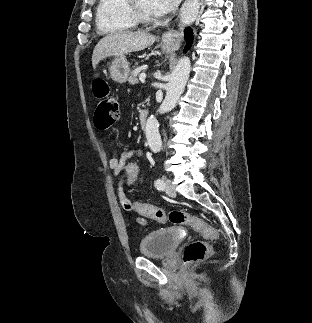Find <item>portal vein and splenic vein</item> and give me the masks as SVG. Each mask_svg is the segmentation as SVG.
Segmentation results:
<instances>
[{"label": "portal vein and splenic vein", "mask_w": 312, "mask_h": 323, "mask_svg": "<svg viewBox=\"0 0 312 323\" xmlns=\"http://www.w3.org/2000/svg\"><path fill=\"white\" fill-rule=\"evenodd\" d=\"M145 78H146L145 74H140L139 76L140 82H145Z\"/></svg>", "instance_id": "portal-vein-and-splenic-vein-1"}]
</instances>
